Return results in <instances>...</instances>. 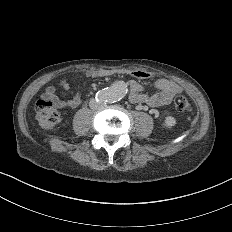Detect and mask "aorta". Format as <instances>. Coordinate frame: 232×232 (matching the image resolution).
Here are the masks:
<instances>
[{
	"mask_svg": "<svg viewBox=\"0 0 232 232\" xmlns=\"http://www.w3.org/2000/svg\"><path fill=\"white\" fill-rule=\"evenodd\" d=\"M127 85L123 81H116L101 92L104 100L109 102H116L121 100L127 94Z\"/></svg>",
	"mask_w": 232,
	"mask_h": 232,
	"instance_id": "762f6f07",
	"label": "aorta"
}]
</instances>
